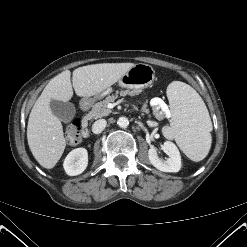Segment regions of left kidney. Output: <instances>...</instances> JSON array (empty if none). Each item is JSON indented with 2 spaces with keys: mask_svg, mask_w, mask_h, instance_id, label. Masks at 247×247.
<instances>
[{
  "mask_svg": "<svg viewBox=\"0 0 247 247\" xmlns=\"http://www.w3.org/2000/svg\"><path fill=\"white\" fill-rule=\"evenodd\" d=\"M163 151L169 155L167 160L159 158L156 149H149L148 157L151 164L163 172H178L181 169V156L177 146L170 141H166L163 144Z\"/></svg>",
  "mask_w": 247,
  "mask_h": 247,
  "instance_id": "1",
  "label": "left kidney"
}]
</instances>
